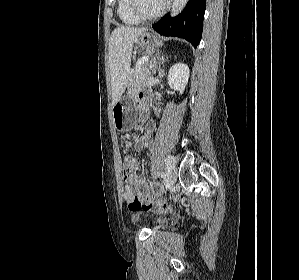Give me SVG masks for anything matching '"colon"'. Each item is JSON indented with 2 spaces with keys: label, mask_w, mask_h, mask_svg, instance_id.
Returning a JSON list of instances; mask_svg holds the SVG:
<instances>
[{
  "label": "colon",
  "mask_w": 299,
  "mask_h": 280,
  "mask_svg": "<svg viewBox=\"0 0 299 280\" xmlns=\"http://www.w3.org/2000/svg\"><path fill=\"white\" fill-rule=\"evenodd\" d=\"M126 146H128V144ZM138 168L139 162L134 157L126 155L123 161L122 171L124 178L137 171ZM154 206L158 207L161 211L173 212V209L164 203L153 204L151 201H141L137 198L128 204L129 210L133 212L139 210H150Z\"/></svg>",
  "instance_id": "1"
}]
</instances>
